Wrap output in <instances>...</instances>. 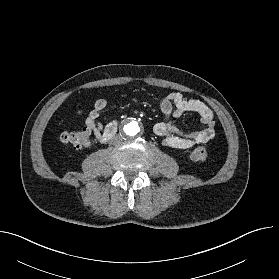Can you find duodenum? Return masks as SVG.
Here are the masks:
<instances>
[{
  "mask_svg": "<svg viewBox=\"0 0 279 279\" xmlns=\"http://www.w3.org/2000/svg\"><path fill=\"white\" fill-rule=\"evenodd\" d=\"M117 128H118V123L116 121L111 122L103 135V143L109 141L117 132Z\"/></svg>",
  "mask_w": 279,
  "mask_h": 279,
  "instance_id": "410a0bca",
  "label": "duodenum"
}]
</instances>
